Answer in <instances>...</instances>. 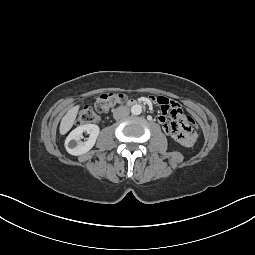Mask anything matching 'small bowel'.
I'll return each mask as SVG.
<instances>
[{
  "instance_id": "small-bowel-1",
  "label": "small bowel",
  "mask_w": 255,
  "mask_h": 255,
  "mask_svg": "<svg viewBox=\"0 0 255 255\" xmlns=\"http://www.w3.org/2000/svg\"><path fill=\"white\" fill-rule=\"evenodd\" d=\"M151 103L157 102L156 96L150 97ZM160 110L159 123L171 140H178L181 145L195 146L198 143L197 129L186 120L177 102L168 100L165 96L159 97Z\"/></svg>"
}]
</instances>
